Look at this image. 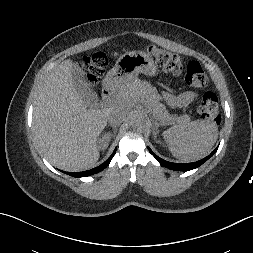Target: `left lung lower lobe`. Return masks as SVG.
<instances>
[{"instance_id": "1", "label": "left lung lower lobe", "mask_w": 253, "mask_h": 253, "mask_svg": "<svg viewBox=\"0 0 253 253\" xmlns=\"http://www.w3.org/2000/svg\"><path fill=\"white\" fill-rule=\"evenodd\" d=\"M148 149L162 166L167 167L172 170H177V171H189V170L199 167L204 162H206L211 156H213V154L217 151L218 147L209 156H207L197 162L186 163V164L172 163V162L165 161V160L159 158L157 155H155L150 148H148Z\"/></svg>"}]
</instances>
